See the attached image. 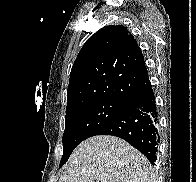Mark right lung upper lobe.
Wrapping results in <instances>:
<instances>
[{
  "mask_svg": "<svg viewBox=\"0 0 196 182\" xmlns=\"http://www.w3.org/2000/svg\"><path fill=\"white\" fill-rule=\"evenodd\" d=\"M149 84L133 35L122 25L105 26L87 40L72 66L66 111L98 99L132 103Z\"/></svg>",
  "mask_w": 196,
  "mask_h": 182,
  "instance_id": "1",
  "label": "right lung upper lobe"
}]
</instances>
